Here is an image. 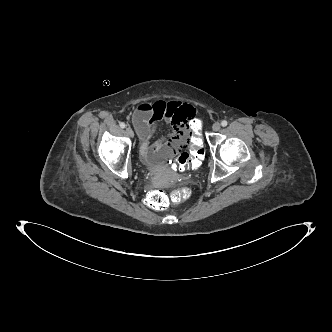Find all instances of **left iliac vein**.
I'll return each instance as SVG.
<instances>
[{
  "label": "left iliac vein",
  "mask_w": 332,
  "mask_h": 332,
  "mask_svg": "<svg viewBox=\"0 0 332 332\" xmlns=\"http://www.w3.org/2000/svg\"><path fill=\"white\" fill-rule=\"evenodd\" d=\"M220 128H221V125L218 122H215L212 126L213 131H219Z\"/></svg>",
  "instance_id": "left-iliac-vein-1"
}]
</instances>
